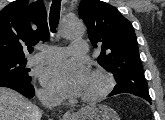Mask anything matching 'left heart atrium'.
I'll return each instance as SVG.
<instances>
[{
	"instance_id": "obj_1",
	"label": "left heart atrium",
	"mask_w": 165,
	"mask_h": 120,
	"mask_svg": "<svg viewBox=\"0 0 165 120\" xmlns=\"http://www.w3.org/2000/svg\"><path fill=\"white\" fill-rule=\"evenodd\" d=\"M89 75L87 67L82 62L67 60L44 69L41 82L60 96L74 97L81 95Z\"/></svg>"
}]
</instances>
